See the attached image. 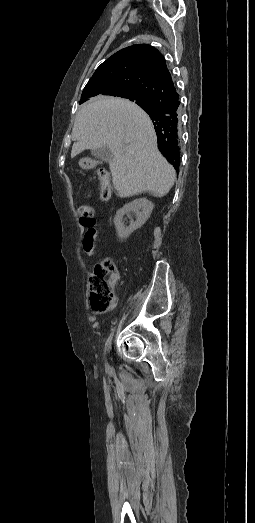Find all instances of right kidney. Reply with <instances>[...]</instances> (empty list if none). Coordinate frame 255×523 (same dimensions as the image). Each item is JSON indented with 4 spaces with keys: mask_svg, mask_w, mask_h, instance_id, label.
<instances>
[{
    "mask_svg": "<svg viewBox=\"0 0 255 523\" xmlns=\"http://www.w3.org/2000/svg\"><path fill=\"white\" fill-rule=\"evenodd\" d=\"M152 210L153 204L152 202H149L147 198H138V200H133V202H130V204H125L123 208H120V210L116 212V216L114 218V224L118 232V238H120V240L129 238L130 234H132L134 230H137V228H140V226L145 224ZM129 212H135L137 218L136 222H131L130 226L125 228V226L122 224V218L124 214H129Z\"/></svg>",
    "mask_w": 255,
    "mask_h": 523,
    "instance_id": "right-kidney-1",
    "label": "right kidney"
}]
</instances>
